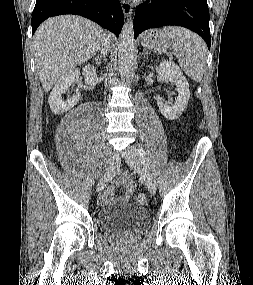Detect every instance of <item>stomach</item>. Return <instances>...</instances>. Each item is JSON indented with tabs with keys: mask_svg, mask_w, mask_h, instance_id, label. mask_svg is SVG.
I'll return each mask as SVG.
<instances>
[{
	"mask_svg": "<svg viewBox=\"0 0 253 285\" xmlns=\"http://www.w3.org/2000/svg\"><path fill=\"white\" fill-rule=\"evenodd\" d=\"M142 45L154 53H165L171 46L170 38L160 29H153L144 34Z\"/></svg>",
	"mask_w": 253,
	"mask_h": 285,
	"instance_id": "1",
	"label": "stomach"
}]
</instances>
